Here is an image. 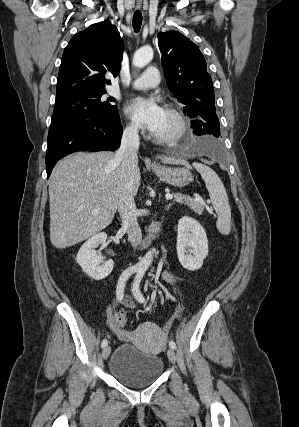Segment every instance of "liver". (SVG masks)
I'll use <instances>...</instances> for the list:
<instances>
[{
    "instance_id": "liver-1",
    "label": "liver",
    "mask_w": 299,
    "mask_h": 427,
    "mask_svg": "<svg viewBox=\"0 0 299 427\" xmlns=\"http://www.w3.org/2000/svg\"><path fill=\"white\" fill-rule=\"evenodd\" d=\"M166 164L190 168L187 161L159 157ZM138 164L133 197L140 185ZM123 185L121 162L114 152H77L60 160L49 184L50 241L58 249L80 243L106 228L118 208Z\"/></svg>"
}]
</instances>
